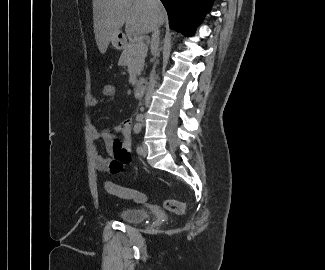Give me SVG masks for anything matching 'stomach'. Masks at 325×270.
<instances>
[{
	"instance_id": "obj_1",
	"label": "stomach",
	"mask_w": 325,
	"mask_h": 270,
	"mask_svg": "<svg viewBox=\"0 0 325 270\" xmlns=\"http://www.w3.org/2000/svg\"><path fill=\"white\" fill-rule=\"evenodd\" d=\"M112 44L116 49H123L127 44L126 37L119 33L113 38Z\"/></svg>"
}]
</instances>
